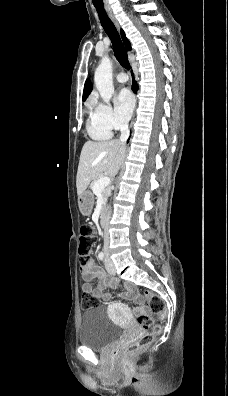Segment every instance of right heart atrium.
<instances>
[{
	"label": "right heart atrium",
	"mask_w": 228,
	"mask_h": 396,
	"mask_svg": "<svg viewBox=\"0 0 228 396\" xmlns=\"http://www.w3.org/2000/svg\"><path fill=\"white\" fill-rule=\"evenodd\" d=\"M92 112L95 119L110 131L120 130L126 125V122L121 120L108 104L94 101Z\"/></svg>",
	"instance_id": "1"
}]
</instances>
